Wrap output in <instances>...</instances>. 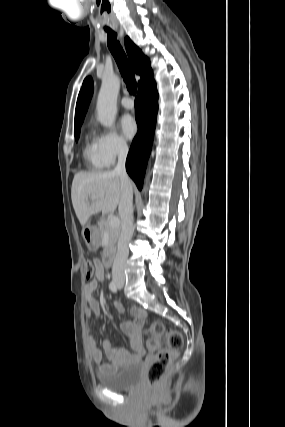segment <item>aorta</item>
I'll return each instance as SVG.
<instances>
[{"instance_id": "762f6f07", "label": "aorta", "mask_w": 285, "mask_h": 427, "mask_svg": "<svg viewBox=\"0 0 285 427\" xmlns=\"http://www.w3.org/2000/svg\"><path fill=\"white\" fill-rule=\"evenodd\" d=\"M120 89V79L117 76H105L97 99L98 120L105 127H111L117 113V96Z\"/></svg>"}]
</instances>
